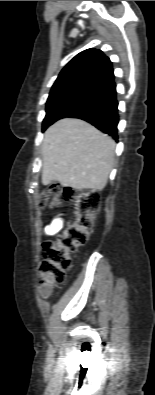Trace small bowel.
I'll return each mask as SVG.
<instances>
[{"label": "small bowel", "instance_id": "obj_1", "mask_svg": "<svg viewBox=\"0 0 155 395\" xmlns=\"http://www.w3.org/2000/svg\"><path fill=\"white\" fill-rule=\"evenodd\" d=\"M63 226V219L61 217L54 218L43 230L44 235L52 236L57 234Z\"/></svg>", "mask_w": 155, "mask_h": 395}]
</instances>
